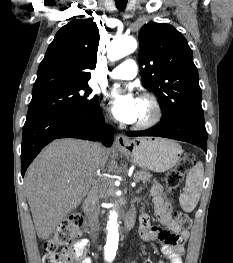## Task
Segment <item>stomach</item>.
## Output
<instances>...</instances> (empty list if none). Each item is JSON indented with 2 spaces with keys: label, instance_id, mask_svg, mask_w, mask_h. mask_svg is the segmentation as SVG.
<instances>
[{
  "label": "stomach",
  "instance_id": "obj_1",
  "mask_svg": "<svg viewBox=\"0 0 233 263\" xmlns=\"http://www.w3.org/2000/svg\"><path fill=\"white\" fill-rule=\"evenodd\" d=\"M119 151L139 167L158 173L173 168L183 153L178 143L151 137L130 140Z\"/></svg>",
  "mask_w": 233,
  "mask_h": 263
}]
</instances>
